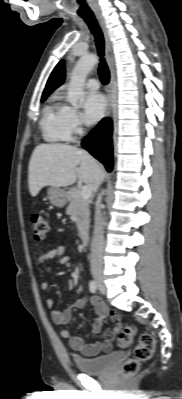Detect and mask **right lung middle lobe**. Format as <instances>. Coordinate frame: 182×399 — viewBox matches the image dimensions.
I'll return each mask as SVG.
<instances>
[{"label":"right lung middle lobe","instance_id":"obj_1","mask_svg":"<svg viewBox=\"0 0 182 399\" xmlns=\"http://www.w3.org/2000/svg\"><path fill=\"white\" fill-rule=\"evenodd\" d=\"M45 99H46V98H42V99H41V102H43Z\"/></svg>","mask_w":182,"mask_h":399}]
</instances>
